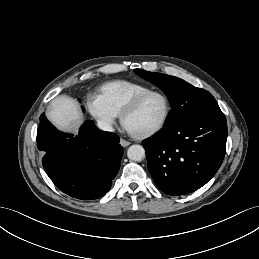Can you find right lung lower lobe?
Masks as SVG:
<instances>
[{"instance_id": "right-lung-lower-lobe-1", "label": "right lung lower lobe", "mask_w": 259, "mask_h": 259, "mask_svg": "<svg viewBox=\"0 0 259 259\" xmlns=\"http://www.w3.org/2000/svg\"><path fill=\"white\" fill-rule=\"evenodd\" d=\"M119 142L115 133L99 130L91 120L72 137L40 116L37 146L46 152L45 172L62 192L77 199H97L110 190L123 155Z\"/></svg>"}]
</instances>
